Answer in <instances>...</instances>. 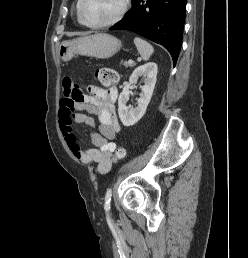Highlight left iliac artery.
Masks as SVG:
<instances>
[{
  "mask_svg": "<svg viewBox=\"0 0 248 258\" xmlns=\"http://www.w3.org/2000/svg\"><path fill=\"white\" fill-rule=\"evenodd\" d=\"M111 196H112V189L109 188L105 194V204L104 208L106 211L110 210V202H111Z\"/></svg>",
  "mask_w": 248,
  "mask_h": 258,
  "instance_id": "1",
  "label": "left iliac artery"
}]
</instances>
